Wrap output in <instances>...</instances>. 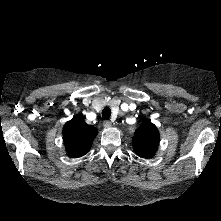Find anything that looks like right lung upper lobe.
I'll return each instance as SVG.
<instances>
[{
    "mask_svg": "<svg viewBox=\"0 0 221 221\" xmlns=\"http://www.w3.org/2000/svg\"><path fill=\"white\" fill-rule=\"evenodd\" d=\"M98 134L97 129L75 116L63 128V140L67 154L78 158L85 155L91 148L92 142Z\"/></svg>",
    "mask_w": 221,
    "mask_h": 221,
    "instance_id": "cb5924a9",
    "label": "right lung upper lobe"
}]
</instances>
